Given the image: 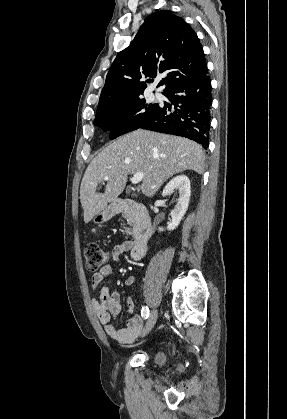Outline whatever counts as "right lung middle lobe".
I'll return each mask as SVG.
<instances>
[{
	"mask_svg": "<svg viewBox=\"0 0 287 419\" xmlns=\"http://www.w3.org/2000/svg\"><path fill=\"white\" fill-rule=\"evenodd\" d=\"M158 104L146 103L138 97L98 109L94 124L104 131L112 130L110 139L138 129L157 109Z\"/></svg>",
	"mask_w": 287,
	"mask_h": 419,
	"instance_id": "1",
	"label": "right lung middle lobe"
}]
</instances>
